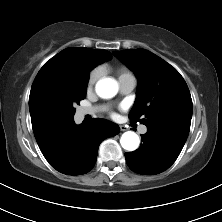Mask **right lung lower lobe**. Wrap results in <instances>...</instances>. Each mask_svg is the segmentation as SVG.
Instances as JSON below:
<instances>
[{"label": "right lung lower lobe", "mask_w": 222, "mask_h": 222, "mask_svg": "<svg viewBox=\"0 0 222 222\" xmlns=\"http://www.w3.org/2000/svg\"><path fill=\"white\" fill-rule=\"evenodd\" d=\"M117 124L104 119H93L80 125L73 118L54 120L45 133L37 138L46 160L66 175H82L95 165L99 144L117 135Z\"/></svg>", "instance_id": "98d812e1"}]
</instances>
